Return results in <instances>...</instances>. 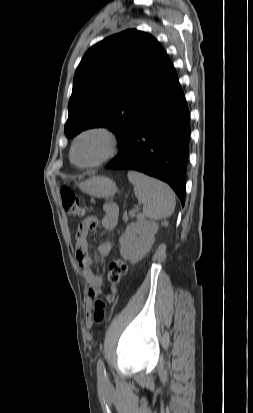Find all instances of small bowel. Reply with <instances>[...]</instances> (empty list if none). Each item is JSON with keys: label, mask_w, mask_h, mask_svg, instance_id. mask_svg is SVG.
<instances>
[{"label": "small bowel", "mask_w": 253, "mask_h": 413, "mask_svg": "<svg viewBox=\"0 0 253 413\" xmlns=\"http://www.w3.org/2000/svg\"><path fill=\"white\" fill-rule=\"evenodd\" d=\"M118 222V206L115 203H105L103 205V215L101 225L107 231L116 228ZM98 225L95 217L85 219L78 227L76 234V257L79 265L83 268L84 278L89 286L88 296L90 299L96 298L101 294L102 276L94 269V255L90 252L89 233ZM113 250L111 241H103L98 246L97 252L100 257H108ZM108 297L105 299L107 304H112L114 297L118 295L117 285L111 280L106 285Z\"/></svg>", "instance_id": "c3829d8e"}]
</instances>
